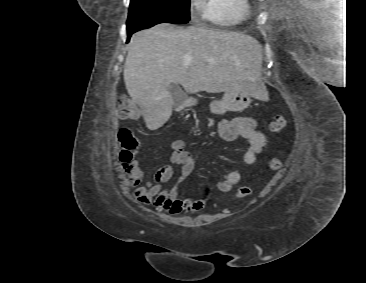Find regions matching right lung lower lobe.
I'll use <instances>...</instances> for the list:
<instances>
[{"instance_id":"1","label":"right lung lower lobe","mask_w":366,"mask_h":283,"mask_svg":"<svg viewBox=\"0 0 366 283\" xmlns=\"http://www.w3.org/2000/svg\"><path fill=\"white\" fill-rule=\"evenodd\" d=\"M134 32L131 31H127V35H128V40L130 39V36L133 34Z\"/></svg>"}]
</instances>
